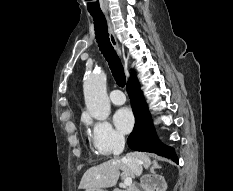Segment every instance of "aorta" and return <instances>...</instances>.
<instances>
[{
	"label": "aorta",
	"mask_w": 233,
	"mask_h": 191,
	"mask_svg": "<svg viewBox=\"0 0 233 191\" xmlns=\"http://www.w3.org/2000/svg\"><path fill=\"white\" fill-rule=\"evenodd\" d=\"M86 107L90 115L97 120H106L111 111L106 91V75L94 71L86 76L83 84Z\"/></svg>",
	"instance_id": "1"
}]
</instances>
